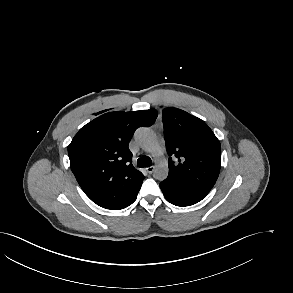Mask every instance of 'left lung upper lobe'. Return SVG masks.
<instances>
[{
	"instance_id": "obj_1",
	"label": "left lung upper lobe",
	"mask_w": 293,
	"mask_h": 293,
	"mask_svg": "<svg viewBox=\"0 0 293 293\" xmlns=\"http://www.w3.org/2000/svg\"><path fill=\"white\" fill-rule=\"evenodd\" d=\"M164 137L170 157L169 182L211 190L221 167V146L201 119L177 108L163 109Z\"/></svg>"
}]
</instances>
